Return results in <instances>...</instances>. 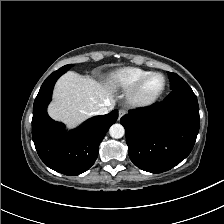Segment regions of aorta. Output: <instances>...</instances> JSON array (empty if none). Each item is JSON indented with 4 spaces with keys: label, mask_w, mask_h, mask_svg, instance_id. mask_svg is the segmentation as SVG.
<instances>
[{
    "label": "aorta",
    "mask_w": 224,
    "mask_h": 224,
    "mask_svg": "<svg viewBox=\"0 0 224 224\" xmlns=\"http://www.w3.org/2000/svg\"><path fill=\"white\" fill-rule=\"evenodd\" d=\"M110 136L115 139H119L124 136L125 129L121 124L115 123L109 129Z\"/></svg>",
    "instance_id": "obj_1"
}]
</instances>
